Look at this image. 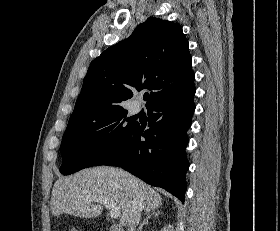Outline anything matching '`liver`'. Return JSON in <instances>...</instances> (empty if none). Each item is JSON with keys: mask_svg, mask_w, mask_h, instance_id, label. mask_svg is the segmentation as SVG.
Instances as JSON below:
<instances>
[{"mask_svg": "<svg viewBox=\"0 0 280 231\" xmlns=\"http://www.w3.org/2000/svg\"><path fill=\"white\" fill-rule=\"evenodd\" d=\"M137 181V189L130 185ZM133 195L141 199L140 209L154 211L162 205V197L153 187L118 167H91L55 181L51 197L52 215L72 213L77 217H97L105 207H119L121 225H128L132 213ZM96 201V203H94Z\"/></svg>", "mask_w": 280, "mask_h": 231, "instance_id": "obj_1", "label": "liver"}]
</instances>
